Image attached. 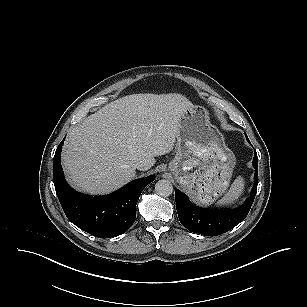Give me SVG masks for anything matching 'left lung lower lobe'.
<instances>
[{
  "label": "left lung lower lobe",
  "instance_id": "0a47b994",
  "mask_svg": "<svg viewBox=\"0 0 307 307\" xmlns=\"http://www.w3.org/2000/svg\"><path fill=\"white\" fill-rule=\"evenodd\" d=\"M253 166L255 176L251 196L241 207L235 210L203 209L192 204L181 191L175 190L176 209L181 224L191 232L205 236H216L231 230L243 221L252 206L257 191L258 157L256 151Z\"/></svg>",
  "mask_w": 307,
  "mask_h": 307
}]
</instances>
